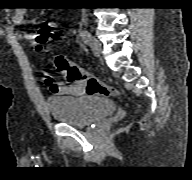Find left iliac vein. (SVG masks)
I'll use <instances>...</instances> for the list:
<instances>
[{
	"mask_svg": "<svg viewBox=\"0 0 192 180\" xmlns=\"http://www.w3.org/2000/svg\"><path fill=\"white\" fill-rule=\"evenodd\" d=\"M89 45L91 47L92 52L96 56H100V54L102 52V44L96 37H94V36L90 37Z\"/></svg>",
	"mask_w": 192,
	"mask_h": 180,
	"instance_id": "4c4485c4",
	"label": "left iliac vein"
}]
</instances>
